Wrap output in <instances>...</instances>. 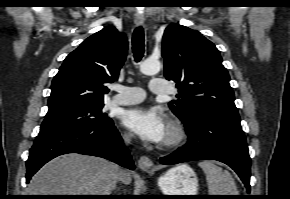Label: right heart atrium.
Returning <instances> with one entry per match:
<instances>
[{
  "label": "right heart atrium",
  "mask_w": 290,
  "mask_h": 199,
  "mask_svg": "<svg viewBox=\"0 0 290 199\" xmlns=\"http://www.w3.org/2000/svg\"><path fill=\"white\" fill-rule=\"evenodd\" d=\"M123 138H124L125 141H130L131 140V134L130 133H125L123 135Z\"/></svg>",
  "instance_id": "right-heart-atrium-1"
}]
</instances>
